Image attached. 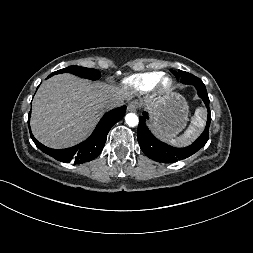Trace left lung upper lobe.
Wrapping results in <instances>:
<instances>
[{
  "mask_svg": "<svg viewBox=\"0 0 253 253\" xmlns=\"http://www.w3.org/2000/svg\"><path fill=\"white\" fill-rule=\"evenodd\" d=\"M177 79L181 78V81L188 79L190 76H192V74L185 72V71H181L179 70V72L177 73L176 71H171Z\"/></svg>",
  "mask_w": 253,
  "mask_h": 253,
  "instance_id": "obj_1",
  "label": "left lung upper lobe"
}]
</instances>
